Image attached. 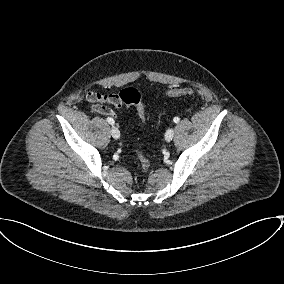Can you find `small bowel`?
<instances>
[{
  "instance_id": "obj_1",
  "label": "small bowel",
  "mask_w": 284,
  "mask_h": 284,
  "mask_svg": "<svg viewBox=\"0 0 284 284\" xmlns=\"http://www.w3.org/2000/svg\"><path fill=\"white\" fill-rule=\"evenodd\" d=\"M85 99L90 103L91 111L97 114L116 117L117 114L109 107L115 106L117 109L123 107V102L118 94H101L94 91H88L85 94Z\"/></svg>"
}]
</instances>
